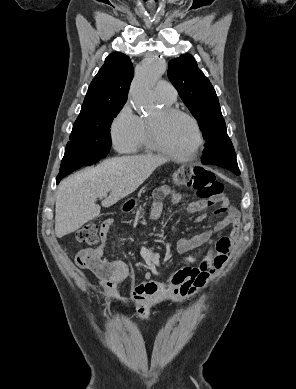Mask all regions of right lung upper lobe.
<instances>
[{
  "label": "right lung upper lobe",
  "instance_id": "obj_1",
  "mask_svg": "<svg viewBox=\"0 0 296 389\" xmlns=\"http://www.w3.org/2000/svg\"><path fill=\"white\" fill-rule=\"evenodd\" d=\"M133 78L128 56L113 52L91 82L78 118L102 110L123 107Z\"/></svg>",
  "mask_w": 296,
  "mask_h": 389
}]
</instances>
